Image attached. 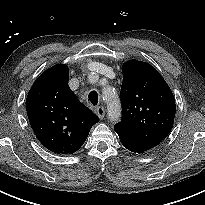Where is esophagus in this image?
Here are the masks:
<instances>
[{"label":"esophagus","instance_id":"obj_1","mask_svg":"<svg viewBox=\"0 0 205 205\" xmlns=\"http://www.w3.org/2000/svg\"><path fill=\"white\" fill-rule=\"evenodd\" d=\"M95 112L97 114V116L100 118V119H103L104 118V115H105V109L103 106H97L95 108Z\"/></svg>","mask_w":205,"mask_h":205}]
</instances>
